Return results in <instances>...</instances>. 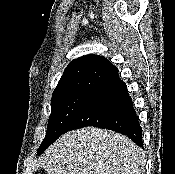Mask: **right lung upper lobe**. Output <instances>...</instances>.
I'll return each instance as SVG.
<instances>
[{
    "instance_id": "obj_1",
    "label": "right lung upper lobe",
    "mask_w": 175,
    "mask_h": 174,
    "mask_svg": "<svg viewBox=\"0 0 175 174\" xmlns=\"http://www.w3.org/2000/svg\"><path fill=\"white\" fill-rule=\"evenodd\" d=\"M117 72L118 69L103 56H82L68 64L53 97L72 92H91Z\"/></svg>"
}]
</instances>
